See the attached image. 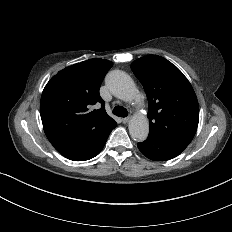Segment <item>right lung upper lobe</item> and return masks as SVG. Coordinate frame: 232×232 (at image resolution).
<instances>
[{
  "mask_svg": "<svg viewBox=\"0 0 232 232\" xmlns=\"http://www.w3.org/2000/svg\"><path fill=\"white\" fill-rule=\"evenodd\" d=\"M113 63L90 59L59 71L45 86L40 102L43 128L51 144H75L99 137L116 122L100 97L101 83ZM101 108L91 110V106Z\"/></svg>",
  "mask_w": 232,
  "mask_h": 232,
  "instance_id": "1",
  "label": "right lung upper lobe"
}]
</instances>
